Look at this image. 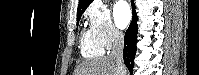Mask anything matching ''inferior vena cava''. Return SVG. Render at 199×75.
<instances>
[{
    "instance_id": "inferior-vena-cava-1",
    "label": "inferior vena cava",
    "mask_w": 199,
    "mask_h": 75,
    "mask_svg": "<svg viewBox=\"0 0 199 75\" xmlns=\"http://www.w3.org/2000/svg\"><path fill=\"white\" fill-rule=\"evenodd\" d=\"M113 46L110 56L116 62L117 75H125L126 68L123 63L124 36L121 32L113 30Z\"/></svg>"
}]
</instances>
